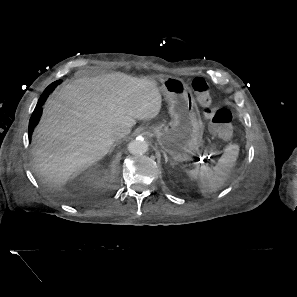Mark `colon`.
Instances as JSON below:
<instances>
[{
	"label": "colon",
	"instance_id": "obj_1",
	"mask_svg": "<svg viewBox=\"0 0 297 297\" xmlns=\"http://www.w3.org/2000/svg\"><path fill=\"white\" fill-rule=\"evenodd\" d=\"M192 89L204 115L211 123V129L215 136L222 140L230 139L233 135L231 112L226 108L213 106L210 86L203 78H195L192 81Z\"/></svg>",
	"mask_w": 297,
	"mask_h": 297
}]
</instances>
